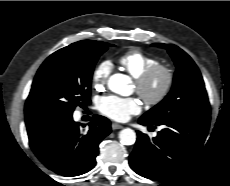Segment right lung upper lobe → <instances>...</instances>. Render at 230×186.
Segmentation results:
<instances>
[{
	"instance_id": "1",
	"label": "right lung upper lobe",
	"mask_w": 230,
	"mask_h": 186,
	"mask_svg": "<svg viewBox=\"0 0 230 186\" xmlns=\"http://www.w3.org/2000/svg\"><path fill=\"white\" fill-rule=\"evenodd\" d=\"M25 117H26V119H28V118L35 117V115L28 113V112H25Z\"/></svg>"
}]
</instances>
